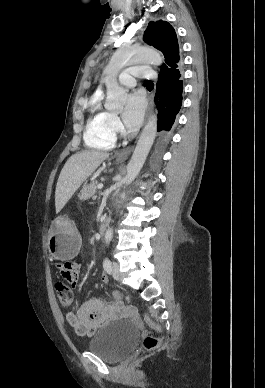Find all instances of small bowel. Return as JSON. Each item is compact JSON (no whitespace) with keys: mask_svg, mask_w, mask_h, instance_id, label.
I'll list each match as a JSON object with an SVG mask.
<instances>
[{"mask_svg":"<svg viewBox=\"0 0 265 388\" xmlns=\"http://www.w3.org/2000/svg\"><path fill=\"white\" fill-rule=\"evenodd\" d=\"M60 273L71 287L79 283L81 264L68 260L59 265ZM105 283L109 282L107 275L102 277ZM124 312L122 304L108 302L103 298H91L85 301L76 311L66 314L68 323L81 336L93 335L101 326L121 317Z\"/></svg>","mask_w":265,"mask_h":388,"instance_id":"small-bowel-1","label":"small bowel"}]
</instances>
